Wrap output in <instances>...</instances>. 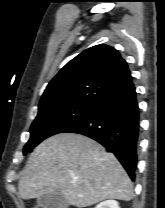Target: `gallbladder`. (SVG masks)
I'll return each instance as SVG.
<instances>
[{
  "mask_svg": "<svg viewBox=\"0 0 165 208\" xmlns=\"http://www.w3.org/2000/svg\"><path fill=\"white\" fill-rule=\"evenodd\" d=\"M41 208H68L69 203L60 192L44 194L37 199Z\"/></svg>",
  "mask_w": 165,
  "mask_h": 208,
  "instance_id": "1",
  "label": "gallbladder"
}]
</instances>
